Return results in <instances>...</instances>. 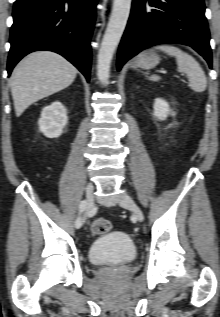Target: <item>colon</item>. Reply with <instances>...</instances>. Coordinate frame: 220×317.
<instances>
[{"label":"colon","mask_w":220,"mask_h":317,"mask_svg":"<svg viewBox=\"0 0 220 317\" xmlns=\"http://www.w3.org/2000/svg\"><path fill=\"white\" fill-rule=\"evenodd\" d=\"M110 222L105 218H96L91 223V230L95 234H103L109 231Z\"/></svg>","instance_id":"obj_1"}]
</instances>
